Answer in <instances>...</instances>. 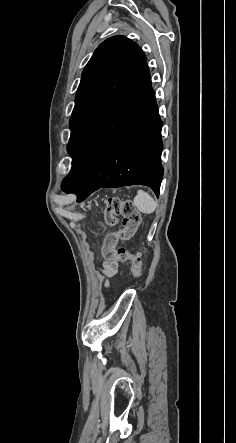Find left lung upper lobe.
<instances>
[{"label":"left lung upper lobe","instance_id":"5c2ea615","mask_svg":"<svg viewBox=\"0 0 236 443\" xmlns=\"http://www.w3.org/2000/svg\"><path fill=\"white\" fill-rule=\"evenodd\" d=\"M143 50L124 36L102 42L83 70L70 118L71 154L93 123L130 86L146 65Z\"/></svg>","mask_w":236,"mask_h":443}]
</instances>
